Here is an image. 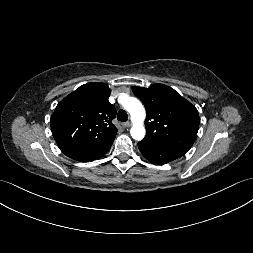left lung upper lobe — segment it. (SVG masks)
Segmentation results:
<instances>
[{"mask_svg": "<svg viewBox=\"0 0 253 253\" xmlns=\"http://www.w3.org/2000/svg\"><path fill=\"white\" fill-rule=\"evenodd\" d=\"M132 90L147 112V133L142 142L186 153L197 137L200 122L195 106L163 84L134 86Z\"/></svg>", "mask_w": 253, "mask_h": 253, "instance_id": "left-lung-upper-lobe-1", "label": "left lung upper lobe"}]
</instances>
